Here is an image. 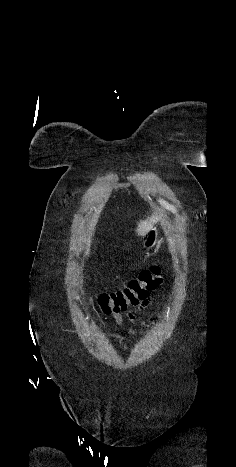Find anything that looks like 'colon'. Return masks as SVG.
<instances>
[{
	"label": "colon",
	"instance_id": "obj_1",
	"mask_svg": "<svg viewBox=\"0 0 236 467\" xmlns=\"http://www.w3.org/2000/svg\"><path fill=\"white\" fill-rule=\"evenodd\" d=\"M161 282V268L153 265L142 270L126 287L99 294L97 303L104 314L119 313L147 299Z\"/></svg>",
	"mask_w": 236,
	"mask_h": 467
}]
</instances>
